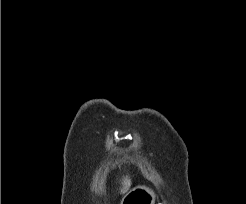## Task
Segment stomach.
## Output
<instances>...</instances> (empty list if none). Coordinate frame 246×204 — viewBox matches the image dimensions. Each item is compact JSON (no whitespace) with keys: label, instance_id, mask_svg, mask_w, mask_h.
<instances>
[{"label":"stomach","instance_id":"stomach-1","mask_svg":"<svg viewBox=\"0 0 246 204\" xmlns=\"http://www.w3.org/2000/svg\"><path fill=\"white\" fill-rule=\"evenodd\" d=\"M156 195L150 188L140 185L130 190L122 199L121 204H154Z\"/></svg>","mask_w":246,"mask_h":204}]
</instances>
